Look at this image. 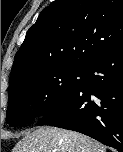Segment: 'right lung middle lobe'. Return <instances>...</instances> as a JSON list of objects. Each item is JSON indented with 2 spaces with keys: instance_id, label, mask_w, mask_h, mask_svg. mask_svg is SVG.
Masks as SVG:
<instances>
[{
  "instance_id": "obj_1",
  "label": "right lung middle lobe",
  "mask_w": 123,
  "mask_h": 152,
  "mask_svg": "<svg viewBox=\"0 0 123 152\" xmlns=\"http://www.w3.org/2000/svg\"><path fill=\"white\" fill-rule=\"evenodd\" d=\"M82 71L61 68L23 77L9 89L7 124L25 125L58 109L78 89Z\"/></svg>"
}]
</instances>
